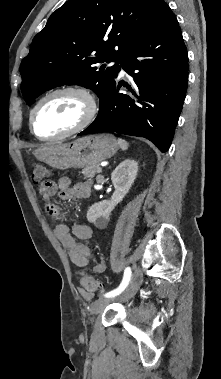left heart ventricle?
<instances>
[{
	"mask_svg": "<svg viewBox=\"0 0 221 379\" xmlns=\"http://www.w3.org/2000/svg\"><path fill=\"white\" fill-rule=\"evenodd\" d=\"M87 110L85 100L72 93L54 95L45 100L34 117V128L38 135L50 137L76 126Z\"/></svg>",
	"mask_w": 221,
	"mask_h": 379,
	"instance_id": "b2bd125f",
	"label": "left heart ventricle"
}]
</instances>
